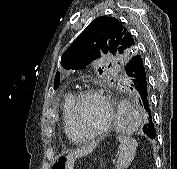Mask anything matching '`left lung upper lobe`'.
I'll list each match as a JSON object with an SVG mask.
<instances>
[{
    "label": "left lung upper lobe",
    "mask_w": 177,
    "mask_h": 169,
    "mask_svg": "<svg viewBox=\"0 0 177 169\" xmlns=\"http://www.w3.org/2000/svg\"><path fill=\"white\" fill-rule=\"evenodd\" d=\"M137 53L136 42L128 29L118 19L100 16L64 52L61 65L68 70L84 69L103 57L115 58L125 65ZM98 71L102 74L103 68Z\"/></svg>",
    "instance_id": "5c2ea615"
}]
</instances>
